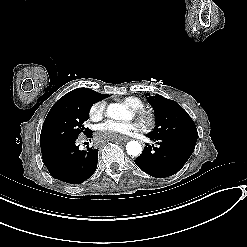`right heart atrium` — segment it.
I'll return each mask as SVG.
<instances>
[{
	"instance_id": "1",
	"label": "right heart atrium",
	"mask_w": 247,
	"mask_h": 247,
	"mask_svg": "<svg viewBox=\"0 0 247 247\" xmlns=\"http://www.w3.org/2000/svg\"><path fill=\"white\" fill-rule=\"evenodd\" d=\"M104 114H105V103L103 101H98L94 103L89 110V116L92 121L101 120Z\"/></svg>"
}]
</instances>
